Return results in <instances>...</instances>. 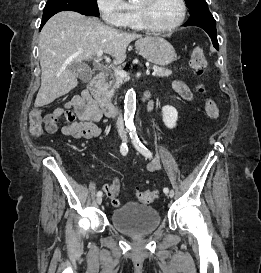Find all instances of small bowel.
Wrapping results in <instances>:
<instances>
[{"label": "small bowel", "mask_w": 261, "mask_h": 273, "mask_svg": "<svg viewBox=\"0 0 261 273\" xmlns=\"http://www.w3.org/2000/svg\"><path fill=\"white\" fill-rule=\"evenodd\" d=\"M173 89L185 101L190 102L194 99L189 86L181 80L173 82ZM70 109L74 110L79 121H75L74 113L70 112ZM61 117H64L66 121L61 131L67 137L93 139L100 137L102 134L101 128L96 125V122L102 117L101 112L93 104H89L84 99L83 94L74 96L64 104L63 108H56L45 116L44 122L48 133L54 134L58 131V120ZM157 168V163L149 167L151 171ZM103 190L110 199L112 206L118 208L121 205L118 198L120 192L119 178L115 177L112 184L103 185Z\"/></svg>", "instance_id": "1"}]
</instances>
